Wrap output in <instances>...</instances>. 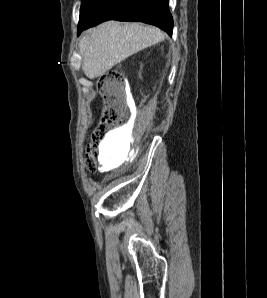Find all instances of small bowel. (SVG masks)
Wrapping results in <instances>:
<instances>
[{
  "label": "small bowel",
  "mask_w": 267,
  "mask_h": 298,
  "mask_svg": "<svg viewBox=\"0 0 267 298\" xmlns=\"http://www.w3.org/2000/svg\"><path fill=\"white\" fill-rule=\"evenodd\" d=\"M118 138V134L117 132H111L108 137H107V141L110 144H113Z\"/></svg>",
  "instance_id": "small-bowel-1"
}]
</instances>
